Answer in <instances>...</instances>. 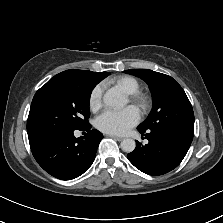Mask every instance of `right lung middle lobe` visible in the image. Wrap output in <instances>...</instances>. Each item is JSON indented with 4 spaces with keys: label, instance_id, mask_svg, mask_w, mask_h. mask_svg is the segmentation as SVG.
Instances as JSON below:
<instances>
[{
    "label": "right lung middle lobe",
    "instance_id": "1",
    "mask_svg": "<svg viewBox=\"0 0 223 223\" xmlns=\"http://www.w3.org/2000/svg\"><path fill=\"white\" fill-rule=\"evenodd\" d=\"M97 83L89 78H51L32 100L27 122L28 138L87 126L90 95Z\"/></svg>",
    "mask_w": 223,
    "mask_h": 223
}]
</instances>
